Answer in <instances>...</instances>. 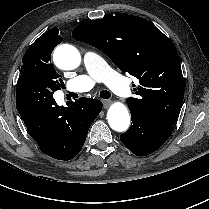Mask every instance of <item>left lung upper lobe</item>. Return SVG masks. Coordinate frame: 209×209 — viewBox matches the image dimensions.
I'll list each match as a JSON object with an SVG mask.
<instances>
[{"label":"left lung upper lobe","instance_id":"obj_1","mask_svg":"<svg viewBox=\"0 0 209 209\" xmlns=\"http://www.w3.org/2000/svg\"><path fill=\"white\" fill-rule=\"evenodd\" d=\"M72 36L98 48L139 80L137 98H128V107L174 125L184 98V78L176 49L155 25L120 14L84 22Z\"/></svg>","mask_w":209,"mask_h":209}]
</instances>
